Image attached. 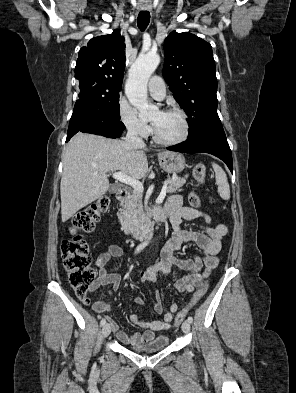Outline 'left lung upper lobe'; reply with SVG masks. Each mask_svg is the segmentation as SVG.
I'll list each match as a JSON object with an SVG mask.
<instances>
[{"label":"left lung upper lobe","mask_w":296,"mask_h":393,"mask_svg":"<svg viewBox=\"0 0 296 393\" xmlns=\"http://www.w3.org/2000/svg\"><path fill=\"white\" fill-rule=\"evenodd\" d=\"M163 75L188 116L189 135L221 124L212 47L194 34L171 32L164 42Z\"/></svg>","instance_id":"1"}]
</instances>
